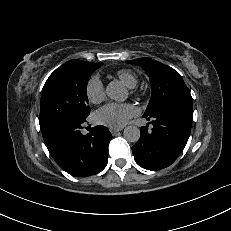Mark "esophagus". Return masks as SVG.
<instances>
[{
	"label": "esophagus",
	"instance_id": "34e87169",
	"mask_svg": "<svg viewBox=\"0 0 231 231\" xmlns=\"http://www.w3.org/2000/svg\"><path fill=\"white\" fill-rule=\"evenodd\" d=\"M122 129L119 128V129H110V132L113 134V135H116L118 132H120Z\"/></svg>",
	"mask_w": 231,
	"mask_h": 231
}]
</instances>
